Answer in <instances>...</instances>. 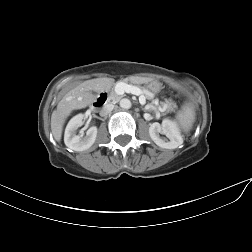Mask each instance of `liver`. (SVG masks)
Wrapping results in <instances>:
<instances>
[{
	"label": "liver",
	"mask_w": 252,
	"mask_h": 252,
	"mask_svg": "<svg viewBox=\"0 0 252 252\" xmlns=\"http://www.w3.org/2000/svg\"><path fill=\"white\" fill-rule=\"evenodd\" d=\"M130 80L134 83L148 82L147 78H135ZM114 83L112 78H97L87 80L71 91L58 103L57 109L53 111L51 116V131L56 141H60L62 137V129L65 119L73 110L81 109L90 105L95 101V96L91 91L102 92L109 90Z\"/></svg>",
	"instance_id": "obj_1"
}]
</instances>
